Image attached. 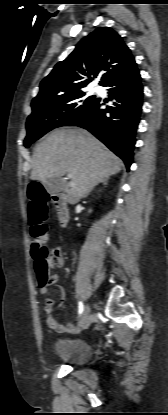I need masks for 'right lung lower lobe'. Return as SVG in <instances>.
Segmentation results:
<instances>
[{"label": "right lung lower lobe", "mask_w": 168, "mask_h": 415, "mask_svg": "<svg viewBox=\"0 0 168 415\" xmlns=\"http://www.w3.org/2000/svg\"><path fill=\"white\" fill-rule=\"evenodd\" d=\"M111 106L98 101L85 113L65 126H78L91 132L119 156L127 169L133 162L135 132L142 110L143 87L136 63L108 81Z\"/></svg>", "instance_id": "1"}]
</instances>
